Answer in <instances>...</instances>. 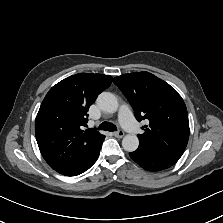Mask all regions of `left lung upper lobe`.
<instances>
[{"label": "left lung upper lobe", "mask_w": 223, "mask_h": 223, "mask_svg": "<svg viewBox=\"0 0 223 223\" xmlns=\"http://www.w3.org/2000/svg\"><path fill=\"white\" fill-rule=\"evenodd\" d=\"M114 83L133 107L138 121L148 119L138 134V150L179 160L189 138L188 113L178 92L149 72L114 78Z\"/></svg>", "instance_id": "1"}]
</instances>
